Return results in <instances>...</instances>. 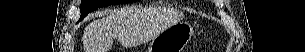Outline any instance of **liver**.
<instances>
[{"instance_id": "obj_1", "label": "liver", "mask_w": 305, "mask_h": 52, "mask_svg": "<svg viewBox=\"0 0 305 52\" xmlns=\"http://www.w3.org/2000/svg\"><path fill=\"white\" fill-rule=\"evenodd\" d=\"M182 17V13L172 11L170 16L159 21V26L152 27L147 25V15L143 10L127 8L115 11L86 26L82 37L84 52H108L113 39L125 43L154 39L160 32L178 23Z\"/></svg>"}]
</instances>
